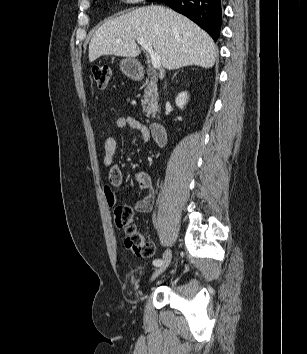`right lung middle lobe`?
<instances>
[{
	"label": "right lung middle lobe",
	"mask_w": 307,
	"mask_h": 354,
	"mask_svg": "<svg viewBox=\"0 0 307 354\" xmlns=\"http://www.w3.org/2000/svg\"><path fill=\"white\" fill-rule=\"evenodd\" d=\"M95 1V0H94ZM149 1H157V0H149Z\"/></svg>",
	"instance_id": "obj_1"
}]
</instances>
